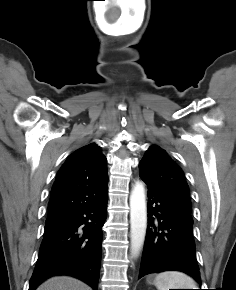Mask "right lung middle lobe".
I'll return each mask as SVG.
<instances>
[{
  "label": "right lung middle lobe",
  "mask_w": 236,
  "mask_h": 290,
  "mask_svg": "<svg viewBox=\"0 0 236 290\" xmlns=\"http://www.w3.org/2000/svg\"><path fill=\"white\" fill-rule=\"evenodd\" d=\"M52 224H54V223H50V222H47V221H46V223H45L46 227H47V226H50V225H52Z\"/></svg>",
  "instance_id": "dd1d6c3e"
}]
</instances>
